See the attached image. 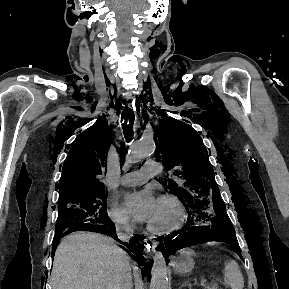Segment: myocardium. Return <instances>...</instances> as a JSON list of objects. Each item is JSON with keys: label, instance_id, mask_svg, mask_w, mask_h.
<instances>
[{"label": "myocardium", "instance_id": "myocardium-1", "mask_svg": "<svg viewBox=\"0 0 289 289\" xmlns=\"http://www.w3.org/2000/svg\"><path fill=\"white\" fill-rule=\"evenodd\" d=\"M159 201L171 204L177 211V219L173 223L163 226V227H155L151 225L150 223H148L147 229L151 233L159 235V234L170 233L182 227L186 220V210L182 202L178 198L172 195H163L159 198Z\"/></svg>", "mask_w": 289, "mask_h": 289}]
</instances>
